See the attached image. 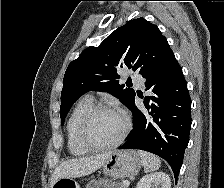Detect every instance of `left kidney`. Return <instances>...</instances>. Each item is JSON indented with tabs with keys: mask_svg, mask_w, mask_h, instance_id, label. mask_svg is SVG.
Segmentation results:
<instances>
[{
	"mask_svg": "<svg viewBox=\"0 0 224 188\" xmlns=\"http://www.w3.org/2000/svg\"><path fill=\"white\" fill-rule=\"evenodd\" d=\"M136 188H171V180L166 173L155 172L142 177Z\"/></svg>",
	"mask_w": 224,
	"mask_h": 188,
	"instance_id": "left-kidney-1",
	"label": "left kidney"
}]
</instances>
